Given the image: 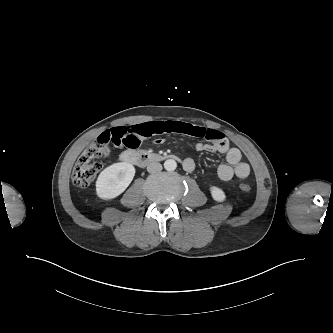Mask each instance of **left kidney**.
<instances>
[{
  "instance_id": "1",
  "label": "left kidney",
  "mask_w": 333,
  "mask_h": 333,
  "mask_svg": "<svg viewBox=\"0 0 333 333\" xmlns=\"http://www.w3.org/2000/svg\"><path fill=\"white\" fill-rule=\"evenodd\" d=\"M210 193L212 198L217 202H222L226 198L224 191L216 186L210 187Z\"/></svg>"
}]
</instances>
